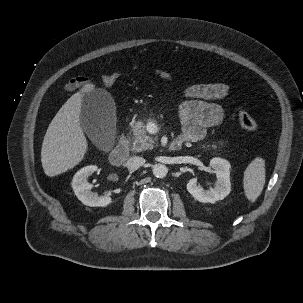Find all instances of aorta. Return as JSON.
I'll return each instance as SVG.
<instances>
[{
    "mask_svg": "<svg viewBox=\"0 0 303 303\" xmlns=\"http://www.w3.org/2000/svg\"><path fill=\"white\" fill-rule=\"evenodd\" d=\"M152 171L157 178H164L168 173L167 167L163 164H155Z\"/></svg>",
    "mask_w": 303,
    "mask_h": 303,
    "instance_id": "obj_1",
    "label": "aorta"
}]
</instances>
